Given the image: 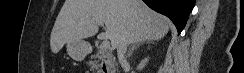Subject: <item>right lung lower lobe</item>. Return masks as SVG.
Returning <instances> with one entry per match:
<instances>
[{"mask_svg":"<svg viewBox=\"0 0 244 73\" xmlns=\"http://www.w3.org/2000/svg\"><path fill=\"white\" fill-rule=\"evenodd\" d=\"M153 10L168 16L175 24L178 34L183 30L195 0H143Z\"/></svg>","mask_w":244,"mask_h":73,"instance_id":"98d812e1","label":"right lung lower lobe"}]
</instances>
